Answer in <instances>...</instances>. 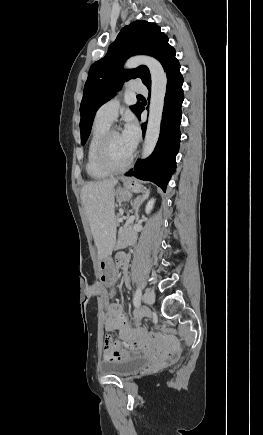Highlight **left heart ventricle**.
Returning a JSON list of instances; mask_svg holds the SVG:
<instances>
[{"instance_id":"left-heart-ventricle-1","label":"left heart ventricle","mask_w":263,"mask_h":435,"mask_svg":"<svg viewBox=\"0 0 263 435\" xmlns=\"http://www.w3.org/2000/svg\"><path fill=\"white\" fill-rule=\"evenodd\" d=\"M132 150L125 143L122 134H114L108 146V159L114 166H122L129 159Z\"/></svg>"}]
</instances>
